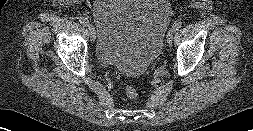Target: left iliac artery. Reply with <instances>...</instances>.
Here are the masks:
<instances>
[{
  "mask_svg": "<svg viewBox=\"0 0 253 131\" xmlns=\"http://www.w3.org/2000/svg\"><path fill=\"white\" fill-rule=\"evenodd\" d=\"M182 20H177V21H175L174 22V24H173V28L175 29V30H178L181 26H182Z\"/></svg>",
  "mask_w": 253,
  "mask_h": 131,
  "instance_id": "44dca946",
  "label": "left iliac artery"
}]
</instances>
